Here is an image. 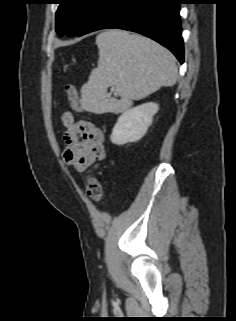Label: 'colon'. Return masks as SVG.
<instances>
[{"label": "colon", "instance_id": "1", "mask_svg": "<svg viewBox=\"0 0 236 321\" xmlns=\"http://www.w3.org/2000/svg\"><path fill=\"white\" fill-rule=\"evenodd\" d=\"M64 91L67 95L70 106L75 111H80L79 94L77 87L72 83L64 85ZM86 194L94 202H100L103 196V187L101 180L96 176L86 178Z\"/></svg>", "mask_w": 236, "mask_h": 321}]
</instances>
